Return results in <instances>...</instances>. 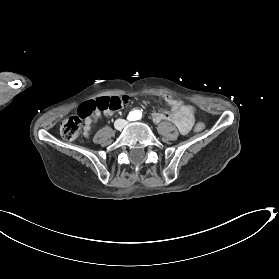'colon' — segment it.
Listing matches in <instances>:
<instances>
[{
	"mask_svg": "<svg viewBox=\"0 0 279 279\" xmlns=\"http://www.w3.org/2000/svg\"><path fill=\"white\" fill-rule=\"evenodd\" d=\"M129 103L127 96L101 97L95 100H89L81 104L77 113L68 116L63 120L60 126V133L66 140L76 139L81 130L82 119L90 116L95 111H117ZM191 116L196 115V109L191 105L183 104ZM205 129L203 122H197L194 126L196 132H202Z\"/></svg>",
	"mask_w": 279,
	"mask_h": 279,
	"instance_id": "obj_1",
	"label": "colon"
}]
</instances>
